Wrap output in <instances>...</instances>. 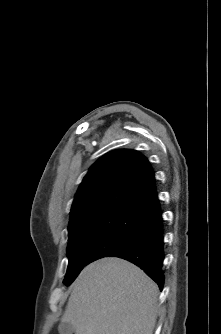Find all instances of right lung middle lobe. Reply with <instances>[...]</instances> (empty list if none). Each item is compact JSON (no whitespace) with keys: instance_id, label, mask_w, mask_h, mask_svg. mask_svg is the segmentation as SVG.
Wrapping results in <instances>:
<instances>
[{"instance_id":"right-lung-middle-lobe-1","label":"right lung middle lobe","mask_w":221,"mask_h":334,"mask_svg":"<svg viewBox=\"0 0 221 334\" xmlns=\"http://www.w3.org/2000/svg\"><path fill=\"white\" fill-rule=\"evenodd\" d=\"M142 216L129 213H105L79 222L69 232L67 273L63 283L74 281L87 264L106 257L137 227Z\"/></svg>"}]
</instances>
